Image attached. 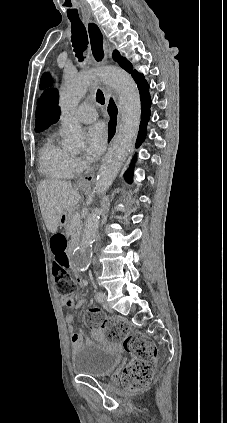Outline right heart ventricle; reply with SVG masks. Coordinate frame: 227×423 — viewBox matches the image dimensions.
<instances>
[{"label": "right heart ventricle", "mask_w": 227, "mask_h": 423, "mask_svg": "<svg viewBox=\"0 0 227 423\" xmlns=\"http://www.w3.org/2000/svg\"><path fill=\"white\" fill-rule=\"evenodd\" d=\"M71 153L58 145L55 136L50 135L42 145L39 153V173L51 179H67Z\"/></svg>", "instance_id": "1"}]
</instances>
